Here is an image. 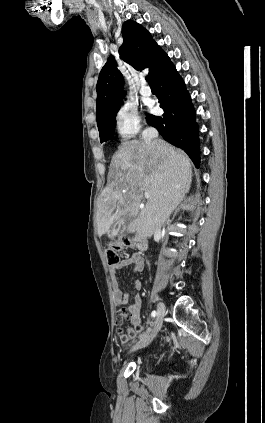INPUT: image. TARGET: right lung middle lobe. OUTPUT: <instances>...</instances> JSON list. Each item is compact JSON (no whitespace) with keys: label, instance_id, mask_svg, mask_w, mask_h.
<instances>
[{"label":"right lung middle lobe","instance_id":"right-lung-middle-lobe-1","mask_svg":"<svg viewBox=\"0 0 265 423\" xmlns=\"http://www.w3.org/2000/svg\"><path fill=\"white\" fill-rule=\"evenodd\" d=\"M120 106L121 105H119L110 114H108L102 120V122L97 124L98 129H99L100 142L101 143L104 142V141L113 139L114 129H115V126H116V121H115L116 112H118V110L120 109Z\"/></svg>","mask_w":265,"mask_h":423}]
</instances>
